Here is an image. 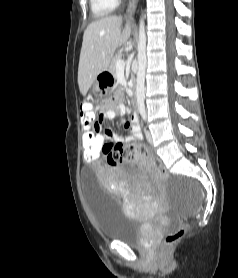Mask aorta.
<instances>
[{
	"instance_id": "obj_1",
	"label": "aorta",
	"mask_w": 238,
	"mask_h": 278,
	"mask_svg": "<svg viewBox=\"0 0 238 278\" xmlns=\"http://www.w3.org/2000/svg\"><path fill=\"white\" fill-rule=\"evenodd\" d=\"M146 33L144 19L141 17L139 23V42H138V68H137V85L136 97L137 106L140 113L145 112V70H146Z\"/></svg>"
}]
</instances>
